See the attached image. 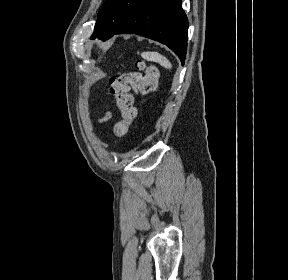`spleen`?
Here are the masks:
<instances>
[{
  "instance_id": "3e777b00",
  "label": "spleen",
  "mask_w": 288,
  "mask_h": 280,
  "mask_svg": "<svg viewBox=\"0 0 288 280\" xmlns=\"http://www.w3.org/2000/svg\"><path fill=\"white\" fill-rule=\"evenodd\" d=\"M141 56L143 59L159 63L161 66L167 69L172 68V64L170 63V61L158 52H143Z\"/></svg>"
}]
</instances>
